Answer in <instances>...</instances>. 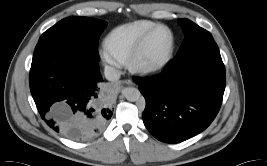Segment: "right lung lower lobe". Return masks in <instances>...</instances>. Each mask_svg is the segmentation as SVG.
I'll return each mask as SVG.
<instances>
[{
    "instance_id": "1",
    "label": "right lung lower lobe",
    "mask_w": 267,
    "mask_h": 166,
    "mask_svg": "<svg viewBox=\"0 0 267 166\" xmlns=\"http://www.w3.org/2000/svg\"><path fill=\"white\" fill-rule=\"evenodd\" d=\"M98 61L57 39L39 40L30 69V91L42 119L72 140L101 132L112 116L102 100Z\"/></svg>"
}]
</instances>
